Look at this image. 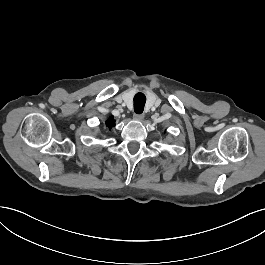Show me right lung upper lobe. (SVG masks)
I'll use <instances>...</instances> for the list:
<instances>
[{"mask_svg": "<svg viewBox=\"0 0 265 265\" xmlns=\"http://www.w3.org/2000/svg\"><path fill=\"white\" fill-rule=\"evenodd\" d=\"M106 126L109 127V129H111L112 127L115 126V120L113 116H110L107 120H106Z\"/></svg>", "mask_w": 265, "mask_h": 265, "instance_id": "obj_1", "label": "right lung upper lobe"}]
</instances>
